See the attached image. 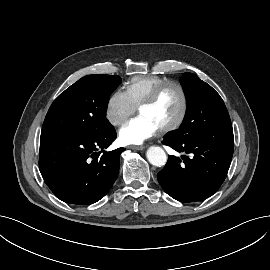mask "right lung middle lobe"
I'll use <instances>...</instances> for the list:
<instances>
[{"mask_svg": "<svg viewBox=\"0 0 270 270\" xmlns=\"http://www.w3.org/2000/svg\"><path fill=\"white\" fill-rule=\"evenodd\" d=\"M121 79L115 75H88L62 92L45 117L42 132L98 136L113 126L106 119L109 96Z\"/></svg>", "mask_w": 270, "mask_h": 270, "instance_id": "obj_1", "label": "right lung middle lobe"}]
</instances>
